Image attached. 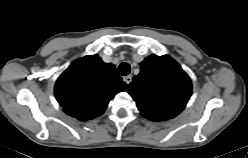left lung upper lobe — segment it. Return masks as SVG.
Here are the masks:
<instances>
[{
    "instance_id": "5c2ea615",
    "label": "left lung upper lobe",
    "mask_w": 248,
    "mask_h": 158,
    "mask_svg": "<svg viewBox=\"0 0 248 158\" xmlns=\"http://www.w3.org/2000/svg\"><path fill=\"white\" fill-rule=\"evenodd\" d=\"M140 67V73L133 77L127 91L141 114L153 121L177 116L192 94L189 76L168 55H150Z\"/></svg>"
}]
</instances>
